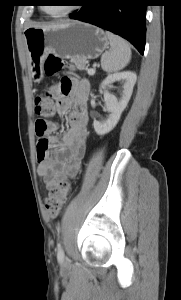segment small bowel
Returning <instances> with one entry per match:
<instances>
[{
	"instance_id": "obj_1",
	"label": "small bowel",
	"mask_w": 181,
	"mask_h": 300,
	"mask_svg": "<svg viewBox=\"0 0 181 300\" xmlns=\"http://www.w3.org/2000/svg\"><path fill=\"white\" fill-rule=\"evenodd\" d=\"M51 92L55 95L56 112L67 116L69 128L59 138L53 135L59 124L48 121L46 138L37 142V171L49 190L74 177L81 167L87 146L89 85L85 80L66 76L51 87Z\"/></svg>"
}]
</instances>
